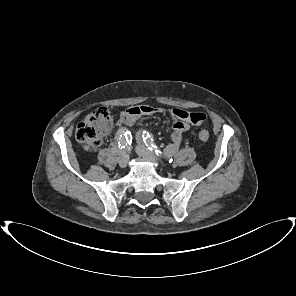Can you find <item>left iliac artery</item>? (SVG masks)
Here are the masks:
<instances>
[{
    "label": "left iliac artery",
    "mask_w": 296,
    "mask_h": 296,
    "mask_svg": "<svg viewBox=\"0 0 296 296\" xmlns=\"http://www.w3.org/2000/svg\"><path fill=\"white\" fill-rule=\"evenodd\" d=\"M136 139L139 143L144 142V144L148 147V149L151 150L152 152H154V154H156L157 156L159 155L162 158L165 156V155H162L161 150L158 149V147L156 146V144L153 141V138L151 137V135L148 132H146V131L139 132L137 134Z\"/></svg>",
    "instance_id": "left-iliac-artery-1"
}]
</instances>
